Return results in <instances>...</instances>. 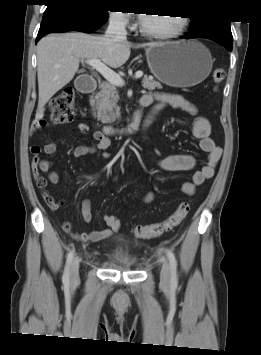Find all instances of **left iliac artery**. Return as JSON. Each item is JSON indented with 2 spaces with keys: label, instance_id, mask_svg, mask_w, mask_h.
<instances>
[{
  "label": "left iliac artery",
  "instance_id": "44dca946",
  "mask_svg": "<svg viewBox=\"0 0 261 355\" xmlns=\"http://www.w3.org/2000/svg\"><path fill=\"white\" fill-rule=\"evenodd\" d=\"M166 254L168 256L170 262V270H171V284L173 286H177L178 278H177V261L175 255L172 250L166 249Z\"/></svg>",
  "mask_w": 261,
  "mask_h": 355
}]
</instances>
